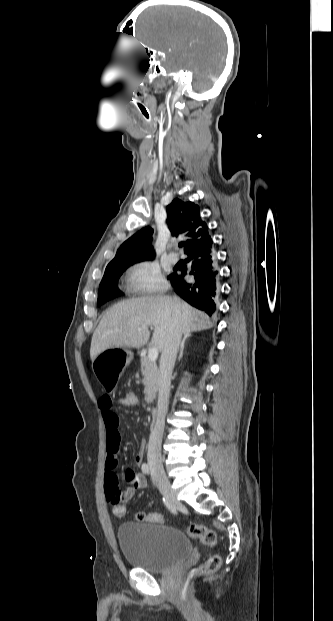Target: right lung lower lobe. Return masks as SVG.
I'll return each instance as SVG.
<instances>
[{
	"label": "right lung lower lobe",
	"mask_w": 333,
	"mask_h": 621,
	"mask_svg": "<svg viewBox=\"0 0 333 621\" xmlns=\"http://www.w3.org/2000/svg\"><path fill=\"white\" fill-rule=\"evenodd\" d=\"M186 255L188 256L187 261L191 262L189 275L192 276L193 281L186 282L184 280L186 268L180 269L182 275L171 273L168 279L180 297L192 306L212 315L216 310L219 292V275L213 246L197 249Z\"/></svg>",
	"instance_id": "1"
}]
</instances>
